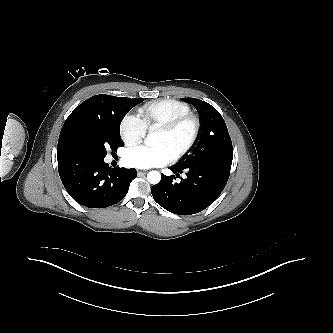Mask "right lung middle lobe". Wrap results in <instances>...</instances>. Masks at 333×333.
<instances>
[{
    "label": "right lung middle lobe",
    "instance_id": "obj_1",
    "mask_svg": "<svg viewBox=\"0 0 333 333\" xmlns=\"http://www.w3.org/2000/svg\"><path fill=\"white\" fill-rule=\"evenodd\" d=\"M142 101V98L111 96L105 114L76 115L61 130V149L64 152H84L105 158L108 149L116 151L124 145L119 132L120 124L126 113Z\"/></svg>",
    "mask_w": 333,
    "mask_h": 333
}]
</instances>
